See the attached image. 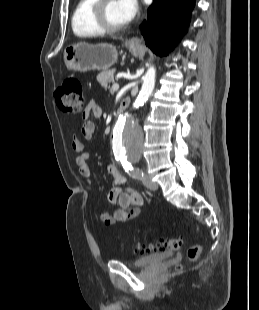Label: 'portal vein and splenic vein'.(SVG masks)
<instances>
[{"mask_svg":"<svg viewBox=\"0 0 259 310\" xmlns=\"http://www.w3.org/2000/svg\"><path fill=\"white\" fill-rule=\"evenodd\" d=\"M119 89V84L118 83H114L111 87V91H117Z\"/></svg>","mask_w":259,"mask_h":310,"instance_id":"obj_1","label":"portal vein and splenic vein"}]
</instances>
